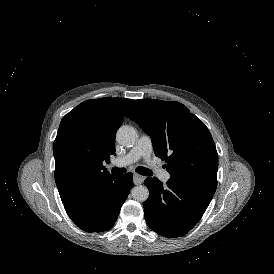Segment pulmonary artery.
Listing matches in <instances>:
<instances>
[{
  "mask_svg": "<svg viewBox=\"0 0 274 274\" xmlns=\"http://www.w3.org/2000/svg\"><path fill=\"white\" fill-rule=\"evenodd\" d=\"M151 153L152 140L148 135L142 134L136 145L125 156L115 159L111 165L116 167H125L137 162L141 158L149 161L151 159ZM160 178L162 181L166 182L169 179V173L163 171Z\"/></svg>",
  "mask_w": 274,
  "mask_h": 274,
  "instance_id": "obj_1",
  "label": "pulmonary artery"
}]
</instances>
